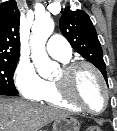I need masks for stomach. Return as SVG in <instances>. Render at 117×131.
<instances>
[{
	"mask_svg": "<svg viewBox=\"0 0 117 131\" xmlns=\"http://www.w3.org/2000/svg\"><path fill=\"white\" fill-rule=\"evenodd\" d=\"M80 123L72 116H63L54 120L53 131H79Z\"/></svg>",
	"mask_w": 117,
	"mask_h": 131,
	"instance_id": "stomach-1",
	"label": "stomach"
}]
</instances>
